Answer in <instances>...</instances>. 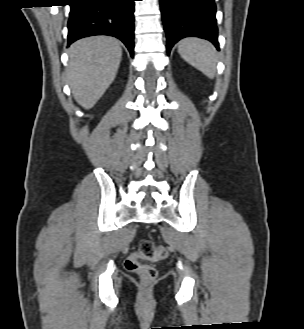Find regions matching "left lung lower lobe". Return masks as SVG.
Returning a JSON list of instances; mask_svg holds the SVG:
<instances>
[{
    "instance_id": "0a47b994",
    "label": "left lung lower lobe",
    "mask_w": 304,
    "mask_h": 329,
    "mask_svg": "<svg viewBox=\"0 0 304 329\" xmlns=\"http://www.w3.org/2000/svg\"><path fill=\"white\" fill-rule=\"evenodd\" d=\"M160 7L168 54L176 42L188 36L207 39L219 49L214 0H160Z\"/></svg>"
}]
</instances>
